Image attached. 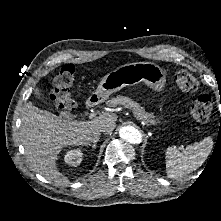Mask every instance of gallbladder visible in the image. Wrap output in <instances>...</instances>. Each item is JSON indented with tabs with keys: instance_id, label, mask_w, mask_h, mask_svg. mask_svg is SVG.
<instances>
[{
	"instance_id": "obj_1",
	"label": "gallbladder",
	"mask_w": 221,
	"mask_h": 221,
	"mask_svg": "<svg viewBox=\"0 0 221 221\" xmlns=\"http://www.w3.org/2000/svg\"><path fill=\"white\" fill-rule=\"evenodd\" d=\"M34 94H35L36 98H38V99H41V98H42V92H41L40 89H38V88L35 89ZM68 115H69V114H67V113H65V112L61 113V117H62L63 119H66V118L68 117Z\"/></svg>"
}]
</instances>
